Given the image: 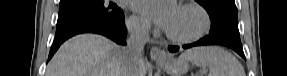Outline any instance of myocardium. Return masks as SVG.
I'll use <instances>...</instances> for the list:
<instances>
[{
    "mask_svg": "<svg viewBox=\"0 0 287 76\" xmlns=\"http://www.w3.org/2000/svg\"><path fill=\"white\" fill-rule=\"evenodd\" d=\"M179 8H189L197 11L201 18H202V24L200 28L193 34L188 35V36H176L168 32L167 30L165 31L166 37L175 43L179 44H187V43H192L200 38H202L210 29L211 26V17L208 13V11L199 3L197 2H185L179 6Z\"/></svg>",
    "mask_w": 287,
    "mask_h": 76,
    "instance_id": "f54148a6",
    "label": "myocardium"
}]
</instances>
